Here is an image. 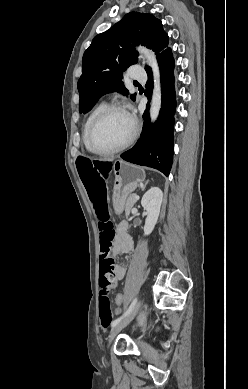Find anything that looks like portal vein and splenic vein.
<instances>
[{
	"mask_svg": "<svg viewBox=\"0 0 248 389\" xmlns=\"http://www.w3.org/2000/svg\"><path fill=\"white\" fill-rule=\"evenodd\" d=\"M135 199H138V196H135Z\"/></svg>",
	"mask_w": 248,
	"mask_h": 389,
	"instance_id": "1",
	"label": "portal vein and splenic vein"
}]
</instances>
